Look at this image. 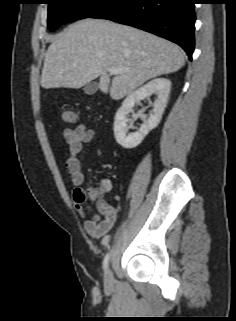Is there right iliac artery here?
<instances>
[{
	"instance_id": "obj_1",
	"label": "right iliac artery",
	"mask_w": 236,
	"mask_h": 321,
	"mask_svg": "<svg viewBox=\"0 0 236 321\" xmlns=\"http://www.w3.org/2000/svg\"><path fill=\"white\" fill-rule=\"evenodd\" d=\"M109 258H110V254L108 253V254H106V256L104 257V261H103V268H104V270H106L107 267H108Z\"/></svg>"
}]
</instances>
